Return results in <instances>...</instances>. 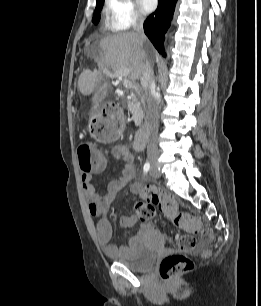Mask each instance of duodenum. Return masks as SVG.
<instances>
[{"instance_id": "1", "label": "duodenum", "mask_w": 261, "mask_h": 306, "mask_svg": "<svg viewBox=\"0 0 261 306\" xmlns=\"http://www.w3.org/2000/svg\"><path fill=\"white\" fill-rule=\"evenodd\" d=\"M149 128V124L145 123L136 132V135L133 140V147L136 151H140L144 148L148 138Z\"/></svg>"}]
</instances>
